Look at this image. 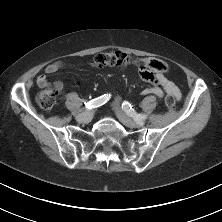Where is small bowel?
I'll list each match as a JSON object with an SVG mask.
<instances>
[{
  "label": "small bowel",
  "instance_id": "1",
  "mask_svg": "<svg viewBox=\"0 0 222 222\" xmlns=\"http://www.w3.org/2000/svg\"><path fill=\"white\" fill-rule=\"evenodd\" d=\"M64 66L65 64L61 61L53 62L46 67L45 72L48 75H53L58 73ZM137 75L139 79L145 80L153 84L152 87L146 88L141 92L143 95L153 94L156 95L158 98H163V90H164L167 94L172 95L175 98V100H180L181 92L179 88L175 83L168 80L162 73L156 74L152 71H148L147 69L142 68L138 71ZM45 80L46 77L44 75L40 76L37 81L38 85L40 87H43ZM57 84L61 91L63 89V84L61 82H57ZM119 103L120 99L116 98L114 104H119Z\"/></svg>",
  "mask_w": 222,
  "mask_h": 222
}]
</instances>
